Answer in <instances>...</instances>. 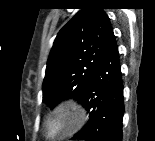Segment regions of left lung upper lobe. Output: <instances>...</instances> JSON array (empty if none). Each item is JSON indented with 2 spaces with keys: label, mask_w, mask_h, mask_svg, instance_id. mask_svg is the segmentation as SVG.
Listing matches in <instances>:
<instances>
[{
  "label": "left lung upper lobe",
  "mask_w": 155,
  "mask_h": 141,
  "mask_svg": "<svg viewBox=\"0 0 155 141\" xmlns=\"http://www.w3.org/2000/svg\"><path fill=\"white\" fill-rule=\"evenodd\" d=\"M82 9L59 31L51 49L43 81V101L53 108L73 97L81 102L114 33L98 0Z\"/></svg>",
  "instance_id": "left-lung-upper-lobe-1"
}]
</instances>
